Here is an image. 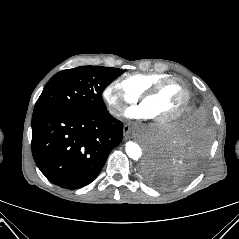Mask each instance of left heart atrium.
I'll return each mask as SVG.
<instances>
[{"instance_id":"obj_1","label":"left heart atrium","mask_w":239,"mask_h":239,"mask_svg":"<svg viewBox=\"0 0 239 239\" xmlns=\"http://www.w3.org/2000/svg\"><path fill=\"white\" fill-rule=\"evenodd\" d=\"M125 116L134 119H149L151 118L147 109L143 104L132 106L125 111Z\"/></svg>"}]
</instances>
